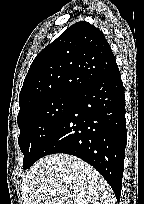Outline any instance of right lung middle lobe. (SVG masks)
Wrapping results in <instances>:
<instances>
[{
    "label": "right lung middle lobe",
    "instance_id": "obj_1",
    "mask_svg": "<svg viewBox=\"0 0 144 204\" xmlns=\"http://www.w3.org/2000/svg\"><path fill=\"white\" fill-rule=\"evenodd\" d=\"M76 95L61 94L41 101L18 114V143L24 155V169L40 158L47 140L67 115Z\"/></svg>",
    "mask_w": 144,
    "mask_h": 204
}]
</instances>
